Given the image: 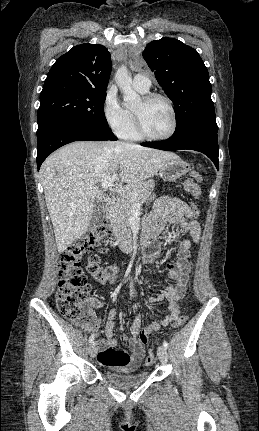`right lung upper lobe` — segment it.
Returning a JSON list of instances; mask_svg holds the SVG:
<instances>
[{"mask_svg": "<svg viewBox=\"0 0 259 431\" xmlns=\"http://www.w3.org/2000/svg\"><path fill=\"white\" fill-rule=\"evenodd\" d=\"M110 73L108 50L99 44H81L56 60L42 92L55 86L106 91Z\"/></svg>", "mask_w": 259, "mask_h": 431, "instance_id": "obj_1", "label": "right lung upper lobe"}]
</instances>
